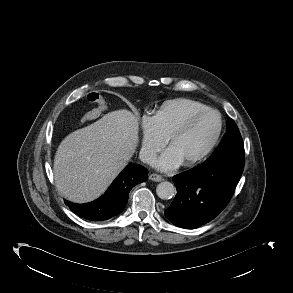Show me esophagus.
I'll use <instances>...</instances> for the list:
<instances>
[{"instance_id":"esophagus-1","label":"esophagus","mask_w":293,"mask_h":293,"mask_svg":"<svg viewBox=\"0 0 293 293\" xmlns=\"http://www.w3.org/2000/svg\"><path fill=\"white\" fill-rule=\"evenodd\" d=\"M149 179L152 180V181H155V182H160V181L163 180L161 175H158V174H155V173L151 174L149 176Z\"/></svg>"}]
</instances>
